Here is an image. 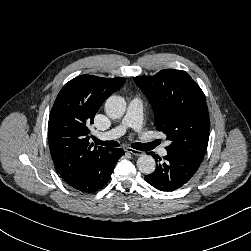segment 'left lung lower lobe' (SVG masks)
Listing matches in <instances>:
<instances>
[{"instance_id": "0a47b994", "label": "left lung lower lobe", "mask_w": 251, "mask_h": 251, "mask_svg": "<svg viewBox=\"0 0 251 251\" xmlns=\"http://www.w3.org/2000/svg\"><path fill=\"white\" fill-rule=\"evenodd\" d=\"M152 155L156 162L154 173L146 175L145 180L161 191H174L185 185L196 173L200 164L182 155L167 153L163 161L153 152Z\"/></svg>"}]
</instances>
